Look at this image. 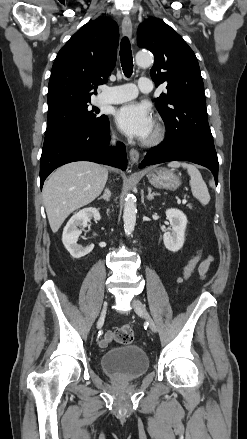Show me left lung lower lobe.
<instances>
[{"label":"left lung lower lobe","instance_id":"obj_1","mask_svg":"<svg viewBox=\"0 0 247 439\" xmlns=\"http://www.w3.org/2000/svg\"><path fill=\"white\" fill-rule=\"evenodd\" d=\"M174 160H186L207 167L218 183V158L215 148L203 143L182 141L181 138L170 134H166L165 141L147 153L139 167Z\"/></svg>","mask_w":247,"mask_h":439}]
</instances>
